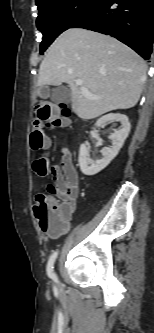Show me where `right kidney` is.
Listing matches in <instances>:
<instances>
[{
	"label": "right kidney",
	"mask_w": 154,
	"mask_h": 333,
	"mask_svg": "<svg viewBox=\"0 0 154 333\" xmlns=\"http://www.w3.org/2000/svg\"><path fill=\"white\" fill-rule=\"evenodd\" d=\"M118 121L121 123V129L115 130L109 135L112 141V146L104 147L101 150L102 159L92 160L89 157V147L82 144L79 149V166L80 170L85 175H95L106 168L110 162L118 155L128 134L130 132V122L126 115L120 113H110L102 116L95 123L96 127H103L106 123Z\"/></svg>",
	"instance_id": "obj_1"
}]
</instances>
